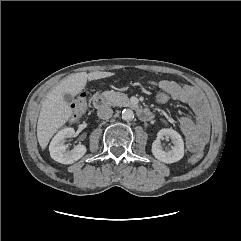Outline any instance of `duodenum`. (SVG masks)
<instances>
[{"instance_id":"1","label":"duodenum","mask_w":241,"mask_h":241,"mask_svg":"<svg viewBox=\"0 0 241 241\" xmlns=\"http://www.w3.org/2000/svg\"><path fill=\"white\" fill-rule=\"evenodd\" d=\"M107 103V98L104 95H95L93 97V105L96 109H102ZM138 116L143 121H149L152 119V113L145 108H140L137 111Z\"/></svg>"}]
</instances>
